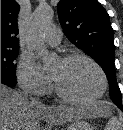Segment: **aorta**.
Segmentation results:
<instances>
[{
	"label": "aorta",
	"instance_id": "1",
	"mask_svg": "<svg viewBox=\"0 0 123 130\" xmlns=\"http://www.w3.org/2000/svg\"><path fill=\"white\" fill-rule=\"evenodd\" d=\"M53 16V9L49 6H39L36 8L32 15L28 36V45L36 51L45 63H49L52 60V55L45 45L44 35L52 23Z\"/></svg>",
	"mask_w": 123,
	"mask_h": 130
}]
</instances>
